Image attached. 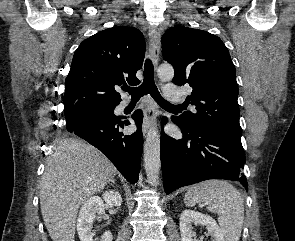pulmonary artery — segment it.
Instances as JSON below:
<instances>
[{
    "instance_id": "e3ab8cb5",
    "label": "pulmonary artery",
    "mask_w": 295,
    "mask_h": 241,
    "mask_svg": "<svg viewBox=\"0 0 295 241\" xmlns=\"http://www.w3.org/2000/svg\"><path fill=\"white\" fill-rule=\"evenodd\" d=\"M164 96L166 99L172 102L182 101V93L179 88L174 84H168L165 86ZM126 105V104H124Z\"/></svg>"
}]
</instances>
